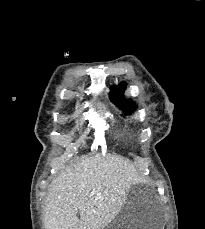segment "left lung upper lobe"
Returning <instances> with one entry per match:
<instances>
[{"instance_id": "1", "label": "left lung upper lobe", "mask_w": 205, "mask_h": 229, "mask_svg": "<svg viewBox=\"0 0 205 229\" xmlns=\"http://www.w3.org/2000/svg\"><path fill=\"white\" fill-rule=\"evenodd\" d=\"M125 88H126V84L124 83H121L119 87L116 86L112 87L110 99L115 104L120 105L123 108L124 112L131 113L133 110H135L136 106L130 100H126L123 97Z\"/></svg>"}]
</instances>
